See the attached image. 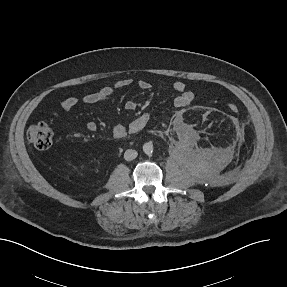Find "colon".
<instances>
[{
	"label": "colon",
	"mask_w": 287,
	"mask_h": 287,
	"mask_svg": "<svg viewBox=\"0 0 287 287\" xmlns=\"http://www.w3.org/2000/svg\"><path fill=\"white\" fill-rule=\"evenodd\" d=\"M228 109L233 113H237L239 111V106L236 103H230ZM27 138L36 149L46 150L52 144L53 131L49 124L37 122L29 126Z\"/></svg>",
	"instance_id": "5ec220e1"
}]
</instances>
